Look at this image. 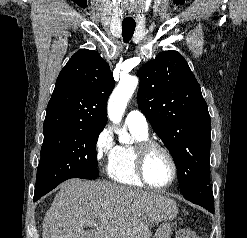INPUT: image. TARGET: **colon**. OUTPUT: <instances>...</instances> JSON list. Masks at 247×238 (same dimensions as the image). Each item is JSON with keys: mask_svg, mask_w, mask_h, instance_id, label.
<instances>
[{"mask_svg": "<svg viewBox=\"0 0 247 238\" xmlns=\"http://www.w3.org/2000/svg\"><path fill=\"white\" fill-rule=\"evenodd\" d=\"M175 238H198L197 234L188 228H180L176 231Z\"/></svg>", "mask_w": 247, "mask_h": 238, "instance_id": "5ec220e1", "label": "colon"}]
</instances>
